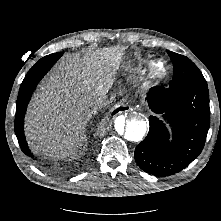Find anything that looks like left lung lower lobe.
Listing matches in <instances>:
<instances>
[{
    "mask_svg": "<svg viewBox=\"0 0 221 221\" xmlns=\"http://www.w3.org/2000/svg\"><path fill=\"white\" fill-rule=\"evenodd\" d=\"M150 109L170 123V135L157 116L149 117V132L135 149V160L145 172L169 176L187 167L203 150L210 126L207 82L176 87L156 86L147 94Z\"/></svg>",
    "mask_w": 221,
    "mask_h": 221,
    "instance_id": "left-lung-lower-lobe-1",
    "label": "left lung lower lobe"
}]
</instances>
